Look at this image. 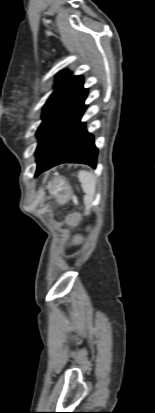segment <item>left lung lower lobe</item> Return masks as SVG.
<instances>
[{"label": "left lung lower lobe", "mask_w": 155, "mask_h": 413, "mask_svg": "<svg viewBox=\"0 0 155 413\" xmlns=\"http://www.w3.org/2000/svg\"><path fill=\"white\" fill-rule=\"evenodd\" d=\"M80 119L73 129L61 135L57 141L60 143L59 151L37 167L35 176L62 163H83L96 167L98 152L93 135L87 131L85 123L80 122Z\"/></svg>", "instance_id": "1"}]
</instances>
